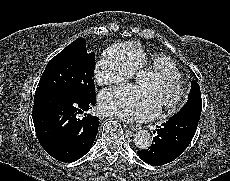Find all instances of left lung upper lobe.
I'll list each match as a JSON object with an SVG mask.
<instances>
[{
  "label": "left lung upper lobe",
  "mask_w": 230,
  "mask_h": 181,
  "mask_svg": "<svg viewBox=\"0 0 230 181\" xmlns=\"http://www.w3.org/2000/svg\"><path fill=\"white\" fill-rule=\"evenodd\" d=\"M191 92L189 94V100L187 104L172 118L170 121L183 117V116H192L196 118H200L201 109H202V99H201V92L198 83L195 81L191 84Z\"/></svg>",
  "instance_id": "5c2ea615"
}]
</instances>
